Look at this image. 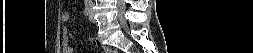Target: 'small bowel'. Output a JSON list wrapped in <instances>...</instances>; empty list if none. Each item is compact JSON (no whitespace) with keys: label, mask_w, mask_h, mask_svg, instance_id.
<instances>
[{"label":"small bowel","mask_w":253,"mask_h":53,"mask_svg":"<svg viewBox=\"0 0 253 53\" xmlns=\"http://www.w3.org/2000/svg\"><path fill=\"white\" fill-rule=\"evenodd\" d=\"M64 21H67L69 19L68 13H64L62 16ZM72 36L69 34V31L66 27L63 28L62 30V45L64 48L65 53H71L73 51V46H72Z\"/></svg>","instance_id":"c3829d8e"}]
</instances>
